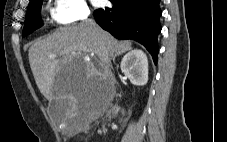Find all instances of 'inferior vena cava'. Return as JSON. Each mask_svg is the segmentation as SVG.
<instances>
[{"instance_id":"inferior-vena-cava-1","label":"inferior vena cava","mask_w":227,"mask_h":142,"mask_svg":"<svg viewBox=\"0 0 227 142\" xmlns=\"http://www.w3.org/2000/svg\"><path fill=\"white\" fill-rule=\"evenodd\" d=\"M88 16H89V14L85 15L84 24L86 26H88L89 28H91L95 37L98 38V25L96 24V22L94 20L89 19ZM103 48H104V51L106 52L105 47H103ZM106 59L108 60L107 53H106Z\"/></svg>"}]
</instances>
